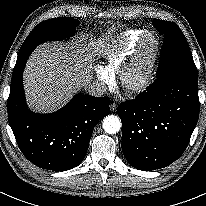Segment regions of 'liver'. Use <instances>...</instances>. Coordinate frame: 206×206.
<instances>
[{
    "mask_svg": "<svg viewBox=\"0 0 206 206\" xmlns=\"http://www.w3.org/2000/svg\"><path fill=\"white\" fill-rule=\"evenodd\" d=\"M86 43V38H79L76 46L44 43L33 51L23 75L27 101L33 110L54 111L90 83L92 55H84Z\"/></svg>",
    "mask_w": 206,
    "mask_h": 206,
    "instance_id": "1",
    "label": "liver"
}]
</instances>
